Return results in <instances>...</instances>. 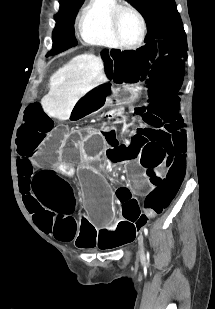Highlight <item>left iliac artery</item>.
<instances>
[{"mask_svg": "<svg viewBox=\"0 0 215 309\" xmlns=\"http://www.w3.org/2000/svg\"><path fill=\"white\" fill-rule=\"evenodd\" d=\"M143 231H144L145 235L148 234V229L146 227H143Z\"/></svg>", "mask_w": 215, "mask_h": 309, "instance_id": "1", "label": "left iliac artery"}]
</instances>
